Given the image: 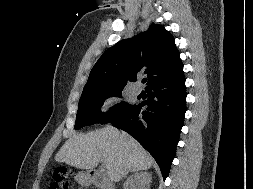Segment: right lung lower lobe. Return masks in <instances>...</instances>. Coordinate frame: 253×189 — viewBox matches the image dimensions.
Returning <instances> with one entry per match:
<instances>
[{
    "label": "right lung lower lobe",
    "instance_id": "right-lung-lower-lobe-1",
    "mask_svg": "<svg viewBox=\"0 0 253 189\" xmlns=\"http://www.w3.org/2000/svg\"><path fill=\"white\" fill-rule=\"evenodd\" d=\"M148 100L134 105L127 112L111 120L135 139L154 157L164 180L169 174L176 154V146L186 112L184 73L146 88ZM147 105L141 112L142 107Z\"/></svg>",
    "mask_w": 253,
    "mask_h": 189
}]
</instances>
